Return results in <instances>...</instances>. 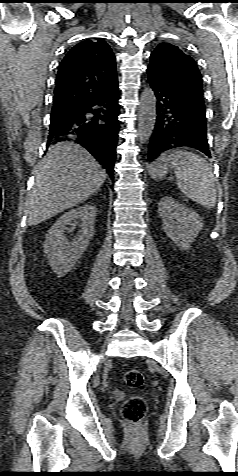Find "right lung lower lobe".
Wrapping results in <instances>:
<instances>
[{"instance_id": "obj_1", "label": "right lung lower lobe", "mask_w": 238, "mask_h": 476, "mask_svg": "<svg viewBox=\"0 0 238 476\" xmlns=\"http://www.w3.org/2000/svg\"><path fill=\"white\" fill-rule=\"evenodd\" d=\"M118 85L77 109L65 120L52 122L49 141L66 137L86 148L113 178L119 132ZM60 141V140H58Z\"/></svg>"}]
</instances>
